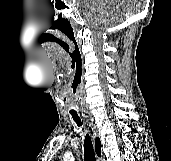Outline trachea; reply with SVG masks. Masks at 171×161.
I'll return each mask as SVG.
<instances>
[{"label":"trachea","mask_w":171,"mask_h":161,"mask_svg":"<svg viewBox=\"0 0 171 161\" xmlns=\"http://www.w3.org/2000/svg\"><path fill=\"white\" fill-rule=\"evenodd\" d=\"M70 114L72 115V118L77 123V125L82 126L81 119L77 112H71ZM84 161H96L91 137L89 134H86L84 139Z\"/></svg>","instance_id":"trachea-1"}]
</instances>
